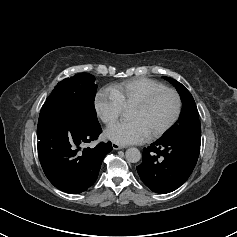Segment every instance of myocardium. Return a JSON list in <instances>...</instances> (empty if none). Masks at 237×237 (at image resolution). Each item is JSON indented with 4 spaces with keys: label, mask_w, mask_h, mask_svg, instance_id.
Wrapping results in <instances>:
<instances>
[{
    "label": "myocardium",
    "mask_w": 237,
    "mask_h": 237,
    "mask_svg": "<svg viewBox=\"0 0 237 237\" xmlns=\"http://www.w3.org/2000/svg\"><path fill=\"white\" fill-rule=\"evenodd\" d=\"M163 93H170L174 96V98L176 100V109H175V112H174V115L172 116V118L165 125H163L161 128H159L153 134H151L149 136V140H155V139L161 137L178 121L181 111H182L181 97L175 89L169 88V87H164V88H161V89H158V90H155V91L149 93L144 98L138 100L137 102H135L132 105V106H136V107H139L142 109H146L155 101V99L157 97H159Z\"/></svg>",
    "instance_id": "obj_1"
}]
</instances>
